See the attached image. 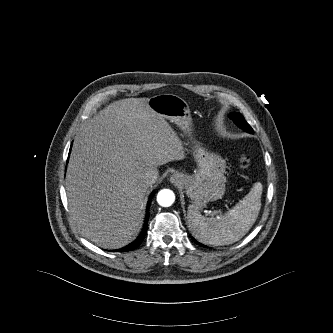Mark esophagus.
<instances>
[{
  "instance_id": "obj_1",
  "label": "esophagus",
  "mask_w": 333,
  "mask_h": 333,
  "mask_svg": "<svg viewBox=\"0 0 333 333\" xmlns=\"http://www.w3.org/2000/svg\"><path fill=\"white\" fill-rule=\"evenodd\" d=\"M170 182L173 185H180L183 182V177L179 173H174L170 177Z\"/></svg>"
}]
</instances>
